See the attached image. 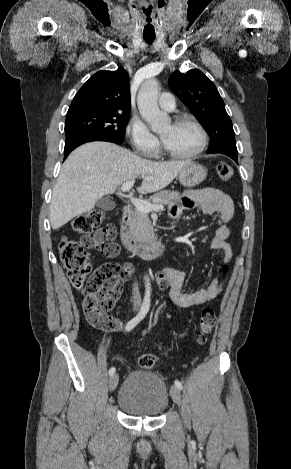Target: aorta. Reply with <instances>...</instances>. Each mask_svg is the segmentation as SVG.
<instances>
[{"mask_svg":"<svg viewBox=\"0 0 291 469\" xmlns=\"http://www.w3.org/2000/svg\"><path fill=\"white\" fill-rule=\"evenodd\" d=\"M159 84L156 79L145 81L138 93V109L142 118L150 124L153 131L162 130L170 123L167 113L160 111L158 107ZM146 293L151 292V283L148 276L144 277Z\"/></svg>","mask_w":291,"mask_h":469,"instance_id":"obj_1","label":"aorta"}]
</instances>
